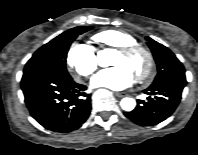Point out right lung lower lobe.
<instances>
[{
    "label": "right lung lower lobe",
    "mask_w": 198,
    "mask_h": 155,
    "mask_svg": "<svg viewBox=\"0 0 198 155\" xmlns=\"http://www.w3.org/2000/svg\"><path fill=\"white\" fill-rule=\"evenodd\" d=\"M21 88L32 117L44 128L67 133L78 129L91 111L86 86L45 72L23 74Z\"/></svg>",
    "instance_id": "right-lung-lower-lobe-1"
}]
</instances>
